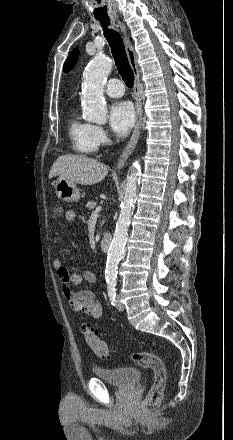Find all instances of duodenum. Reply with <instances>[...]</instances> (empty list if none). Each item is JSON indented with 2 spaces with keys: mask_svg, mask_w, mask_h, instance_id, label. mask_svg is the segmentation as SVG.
<instances>
[{
  "mask_svg": "<svg viewBox=\"0 0 233 440\" xmlns=\"http://www.w3.org/2000/svg\"><path fill=\"white\" fill-rule=\"evenodd\" d=\"M112 237L109 234H105L100 239V247L103 251H107L110 247Z\"/></svg>",
  "mask_w": 233,
  "mask_h": 440,
  "instance_id": "duodenum-1",
  "label": "duodenum"
}]
</instances>
